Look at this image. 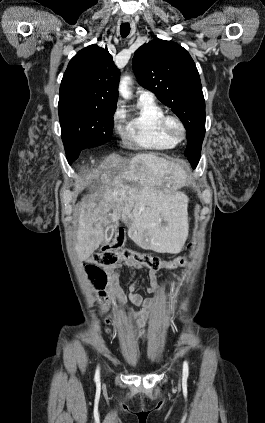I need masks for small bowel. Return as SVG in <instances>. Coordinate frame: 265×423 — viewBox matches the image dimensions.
Here are the masks:
<instances>
[{
	"mask_svg": "<svg viewBox=\"0 0 265 423\" xmlns=\"http://www.w3.org/2000/svg\"><path fill=\"white\" fill-rule=\"evenodd\" d=\"M123 268H128L132 271H135L143 268V266L134 263L133 261L127 260H120L113 265L106 266L104 268V271L106 274L107 290L113 300H115L120 306L125 308L129 316L133 320V326L136 329H141L146 325L150 317L160 306L158 296L162 294V290L157 281V273L149 271L150 284L146 286V291L149 294L154 295V297L143 298L141 295L136 293V280H133L129 284L127 295L123 293L118 283V276ZM127 298L132 303L142 306V308L139 310L133 308H126L125 303Z\"/></svg>",
	"mask_w": 265,
	"mask_h": 423,
	"instance_id": "1",
	"label": "small bowel"
}]
</instances>
